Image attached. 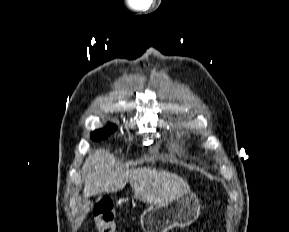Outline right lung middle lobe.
Instances as JSON below:
<instances>
[{"instance_id":"right-lung-middle-lobe-1","label":"right lung middle lobe","mask_w":289,"mask_h":232,"mask_svg":"<svg viewBox=\"0 0 289 232\" xmlns=\"http://www.w3.org/2000/svg\"><path fill=\"white\" fill-rule=\"evenodd\" d=\"M116 130V126L114 125H108L104 129L96 130L91 134V139L93 141H98L100 139H104L107 136H109L110 133L114 132Z\"/></svg>"}]
</instances>
